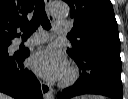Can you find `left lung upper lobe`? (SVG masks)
<instances>
[{
  "instance_id": "1",
  "label": "left lung upper lobe",
  "mask_w": 128,
  "mask_h": 99,
  "mask_svg": "<svg viewBox=\"0 0 128 99\" xmlns=\"http://www.w3.org/2000/svg\"><path fill=\"white\" fill-rule=\"evenodd\" d=\"M74 19L71 47L67 53L80 57L98 45L120 47L118 27L110 0H65Z\"/></svg>"
}]
</instances>
